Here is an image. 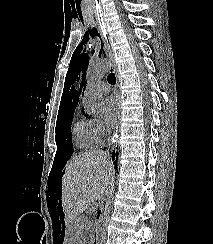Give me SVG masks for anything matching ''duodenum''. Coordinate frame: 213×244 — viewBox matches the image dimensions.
Returning a JSON list of instances; mask_svg holds the SVG:
<instances>
[{
    "label": "duodenum",
    "mask_w": 213,
    "mask_h": 244,
    "mask_svg": "<svg viewBox=\"0 0 213 244\" xmlns=\"http://www.w3.org/2000/svg\"><path fill=\"white\" fill-rule=\"evenodd\" d=\"M92 244H100V233L99 231L95 233L92 239Z\"/></svg>",
    "instance_id": "obj_1"
}]
</instances>
